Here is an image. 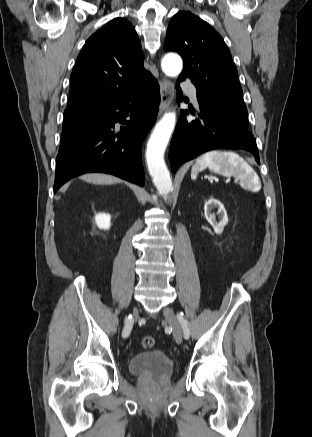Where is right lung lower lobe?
Segmentation results:
<instances>
[{
	"label": "right lung lower lobe",
	"mask_w": 312,
	"mask_h": 437,
	"mask_svg": "<svg viewBox=\"0 0 312 437\" xmlns=\"http://www.w3.org/2000/svg\"><path fill=\"white\" fill-rule=\"evenodd\" d=\"M159 103L158 82L148 74L121 97L63 128L54 193L73 177L88 172L109 173L144 186L141 149L155 123ZM117 122L123 126L115 127Z\"/></svg>",
	"instance_id": "obj_1"
}]
</instances>
